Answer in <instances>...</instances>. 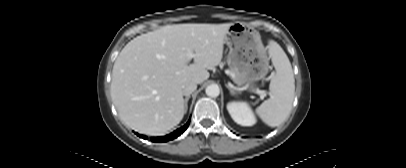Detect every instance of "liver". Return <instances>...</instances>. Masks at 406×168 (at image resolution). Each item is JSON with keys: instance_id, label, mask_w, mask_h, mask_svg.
<instances>
[{"instance_id": "1", "label": "liver", "mask_w": 406, "mask_h": 168, "mask_svg": "<svg viewBox=\"0 0 406 168\" xmlns=\"http://www.w3.org/2000/svg\"><path fill=\"white\" fill-rule=\"evenodd\" d=\"M231 23L177 24L137 36L121 50L112 70L111 97L121 121L160 136L185 114L182 87L201 84L220 64ZM188 52L195 54L188 65Z\"/></svg>"}]
</instances>
